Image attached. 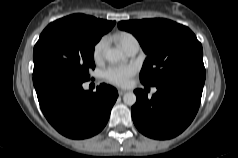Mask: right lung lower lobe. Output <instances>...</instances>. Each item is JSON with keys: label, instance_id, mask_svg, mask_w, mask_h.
I'll use <instances>...</instances> for the list:
<instances>
[{"label": "right lung lower lobe", "instance_id": "1", "mask_svg": "<svg viewBox=\"0 0 238 158\" xmlns=\"http://www.w3.org/2000/svg\"><path fill=\"white\" fill-rule=\"evenodd\" d=\"M83 82L51 67L33 71V84L43 114L59 133L72 139L99 133L118 97L117 90L110 85L101 84L92 92L83 90Z\"/></svg>", "mask_w": 238, "mask_h": 158}]
</instances>
